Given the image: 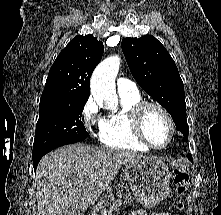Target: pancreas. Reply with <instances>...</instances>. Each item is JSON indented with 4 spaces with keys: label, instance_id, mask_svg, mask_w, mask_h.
Here are the masks:
<instances>
[{
    "label": "pancreas",
    "instance_id": "1",
    "mask_svg": "<svg viewBox=\"0 0 221 215\" xmlns=\"http://www.w3.org/2000/svg\"><path fill=\"white\" fill-rule=\"evenodd\" d=\"M113 191L117 192V200H115ZM131 202H133V197L129 192V188L123 184H118L112 189H109L107 191V194L100 199V202L94 208L92 215H97V212L101 209L106 211V215H111L110 212L114 210L118 205ZM107 207H110V211L106 210Z\"/></svg>",
    "mask_w": 221,
    "mask_h": 215
}]
</instances>
